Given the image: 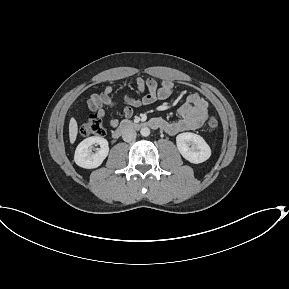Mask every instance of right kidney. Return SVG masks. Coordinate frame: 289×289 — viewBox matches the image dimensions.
Segmentation results:
<instances>
[{
    "label": "right kidney",
    "mask_w": 289,
    "mask_h": 289,
    "mask_svg": "<svg viewBox=\"0 0 289 289\" xmlns=\"http://www.w3.org/2000/svg\"><path fill=\"white\" fill-rule=\"evenodd\" d=\"M94 145H99L97 151L94 153ZM109 153L108 141L99 136H92L84 139L77 146L74 155L75 163L86 169H93L99 167Z\"/></svg>",
    "instance_id": "right-kidney-1"
}]
</instances>
